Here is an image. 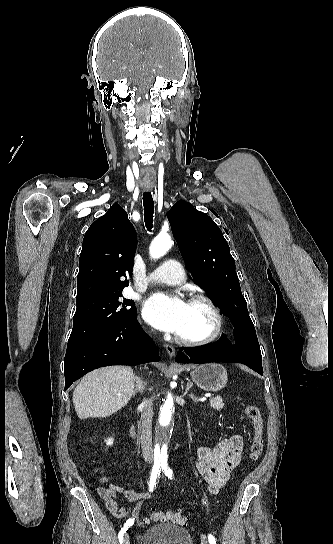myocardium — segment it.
<instances>
[{"label":"myocardium","mask_w":333,"mask_h":544,"mask_svg":"<svg viewBox=\"0 0 333 544\" xmlns=\"http://www.w3.org/2000/svg\"><path fill=\"white\" fill-rule=\"evenodd\" d=\"M189 303L204 304L210 310L214 317V327L211 333L206 337L199 339H190L177 335V340L187 346H204L216 341L221 335L224 328V316L219 306L212 298L204 294L193 295L189 299Z\"/></svg>","instance_id":"f54148a6"}]
</instances>
